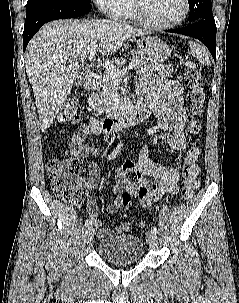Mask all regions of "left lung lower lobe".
Instances as JSON below:
<instances>
[{"instance_id": "left-lung-lower-lobe-1", "label": "left lung lower lobe", "mask_w": 239, "mask_h": 303, "mask_svg": "<svg viewBox=\"0 0 239 303\" xmlns=\"http://www.w3.org/2000/svg\"><path fill=\"white\" fill-rule=\"evenodd\" d=\"M166 31L199 39L207 46L216 61V25L214 18L199 20L183 28Z\"/></svg>"}]
</instances>
